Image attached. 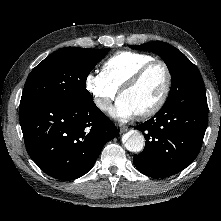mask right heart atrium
<instances>
[{"instance_id": "right-heart-atrium-1", "label": "right heart atrium", "mask_w": 221, "mask_h": 221, "mask_svg": "<svg viewBox=\"0 0 221 221\" xmlns=\"http://www.w3.org/2000/svg\"><path fill=\"white\" fill-rule=\"evenodd\" d=\"M85 88L101 111L107 110L117 94V89L107 81L102 72H89L85 77Z\"/></svg>"}]
</instances>
